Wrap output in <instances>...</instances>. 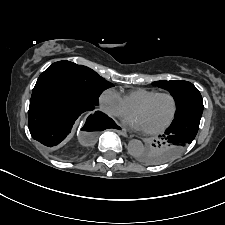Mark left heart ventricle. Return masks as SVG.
<instances>
[{
	"instance_id": "left-heart-ventricle-1",
	"label": "left heart ventricle",
	"mask_w": 225,
	"mask_h": 225,
	"mask_svg": "<svg viewBox=\"0 0 225 225\" xmlns=\"http://www.w3.org/2000/svg\"><path fill=\"white\" fill-rule=\"evenodd\" d=\"M173 105L167 96L153 100L147 106L133 112L142 123L144 130H151L162 126L170 118Z\"/></svg>"
}]
</instances>
